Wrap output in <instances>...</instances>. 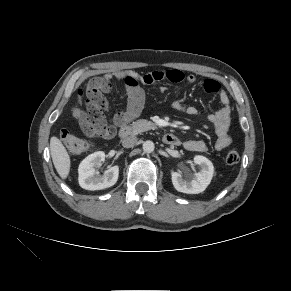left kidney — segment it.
Returning a JSON list of instances; mask_svg holds the SVG:
<instances>
[{
  "label": "left kidney",
  "instance_id": "obj_1",
  "mask_svg": "<svg viewBox=\"0 0 291 291\" xmlns=\"http://www.w3.org/2000/svg\"><path fill=\"white\" fill-rule=\"evenodd\" d=\"M194 163L199 166V172L195 173L193 177L183 175L179 172H171V179L174 188L187 194H198L203 192L210 184L213 174L214 166L212 162L204 156L195 155Z\"/></svg>",
  "mask_w": 291,
  "mask_h": 291
}]
</instances>
